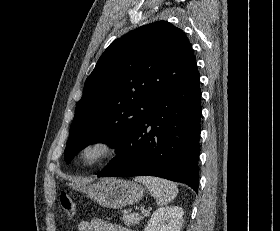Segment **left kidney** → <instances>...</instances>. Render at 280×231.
<instances>
[{"mask_svg": "<svg viewBox=\"0 0 280 231\" xmlns=\"http://www.w3.org/2000/svg\"><path fill=\"white\" fill-rule=\"evenodd\" d=\"M183 215L182 207H159L152 213L144 231H180Z\"/></svg>", "mask_w": 280, "mask_h": 231, "instance_id": "left-kidney-1", "label": "left kidney"}]
</instances>
